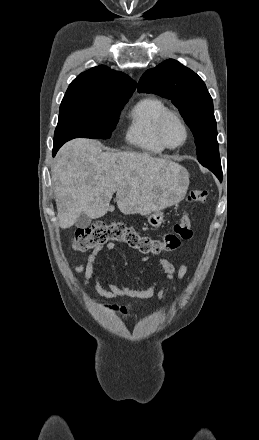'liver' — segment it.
I'll use <instances>...</instances> for the list:
<instances>
[{
    "mask_svg": "<svg viewBox=\"0 0 259 440\" xmlns=\"http://www.w3.org/2000/svg\"><path fill=\"white\" fill-rule=\"evenodd\" d=\"M59 226L74 225L81 213L92 219L119 210L148 215L178 203L185 170L174 162L140 152H104L93 139H74L59 150L52 167Z\"/></svg>",
    "mask_w": 259,
    "mask_h": 440,
    "instance_id": "obj_1",
    "label": "liver"
}]
</instances>
